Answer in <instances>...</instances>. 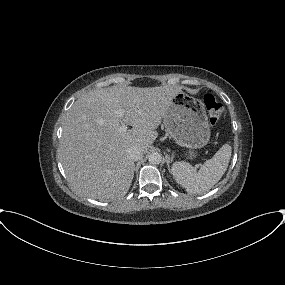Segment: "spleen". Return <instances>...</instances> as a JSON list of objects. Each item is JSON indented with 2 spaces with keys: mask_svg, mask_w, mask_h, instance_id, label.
Returning a JSON list of instances; mask_svg holds the SVG:
<instances>
[{
  "mask_svg": "<svg viewBox=\"0 0 285 285\" xmlns=\"http://www.w3.org/2000/svg\"><path fill=\"white\" fill-rule=\"evenodd\" d=\"M231 153V146L226 143L198 171L188 163L176 162L171 172L176 182L189 194H202L209 191L222 178L227 170Z\"/></svg>",
  "mask_w": 285,
  "mask_h": 285,
  "instance_id": "3e777b00",
  "label": "spleen"
}]
</instances>
